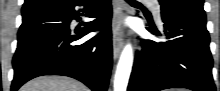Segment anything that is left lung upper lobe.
Here are the masks:
<instances>
[{"mask_svg": "<svg viewBox=\"0 0 220 91\" xmlns=\"http://www.w3.org/2000/svg\"><path fill=\"white\" fill-rule=\"evenodd\" d=\"M161 7L170 8L188 15L206 18L203 0H159Z\"/></svg>", "mask_w": 220, "mask_h": 91, "instance_id": "left-lung-upper-lobe-1", "label": "left lung upper lobe"}]
</instances>
